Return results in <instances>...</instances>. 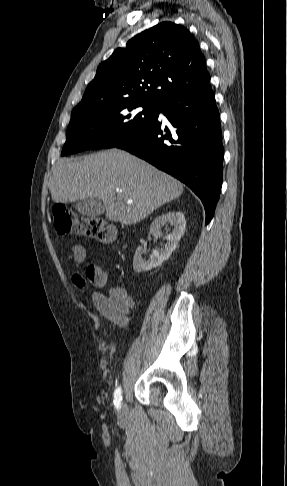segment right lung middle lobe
Masks as SVG:
<instances>
[{
	"label": "right lung middle lobe",
	"mask_w": 287,
	"mask_h": 486,
	"mask_svg": "<svg viewBox=\"0 0 287 486\" xmlns=\"http://www.w3.org/2000/svg\"><path fill=\"white\" fill-rule=\"evenodd\" d=\"M157 108L154 101L124 99L73 111L61 156L126 142L155 117Z\"/></svg>",
	"instance_id": "obj_1"
}]
</instances>
